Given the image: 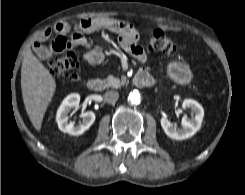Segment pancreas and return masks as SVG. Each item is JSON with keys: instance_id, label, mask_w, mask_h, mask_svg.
Listing matches in <instances>:
<instances>
[{"instance_id": "pancreas-1", "label": "pancreas", "mask_w": 245, "mask_h": 195, "mask_svg": "<svg viewBox=\"0 0 245 195\" xmlns=\"http://www.w3.org/2000/svg\"><path fill=\"white\" fill-rule=\"evenodd\" d=\"M126 83V77H122L121 80L114 76H108L106 79L107 87L119 88Z\"/></svg>"}]
</instances>
